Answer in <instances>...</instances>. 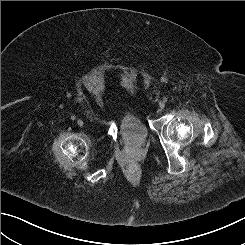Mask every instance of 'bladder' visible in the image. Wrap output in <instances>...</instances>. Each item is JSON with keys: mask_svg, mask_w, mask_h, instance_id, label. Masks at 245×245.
Returning a JSON list of instances; mask_svg holds the SVG:
<instances>
[{"mask_svg": "<svg viewBox=\"0 0 245 245\" xmlns=\"http://www.w3.org/2000/svg\"><path fill=\"white\" fill-rule=\"evenodd\" d=\"M121 133L127 141L136 146L149 138V129L143 121L135 116H127L120 125Z\"/></svg>", "mask_w": 245, "mask_h": 245, "instance_id": "31cf9c89", "label": "bladder"}]
</instances>
